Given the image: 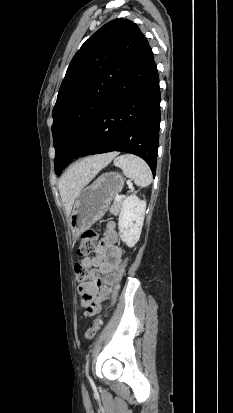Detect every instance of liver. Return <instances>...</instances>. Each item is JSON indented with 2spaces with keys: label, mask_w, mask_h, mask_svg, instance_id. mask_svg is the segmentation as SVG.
Wrapping results in <instances>:
<instances>
[{
  "label": "liver",
  "mask_w": 233,
  "mask_h": 413,
  "mask_svg": "<svg viewBox=\"0 0 233 413\" xmlns=\"http://www.w3.org/2000/svg\"><path fill=\"white\" fill-rule=\"evenodd\" d=\"M117 155L116 152L92 156L73 165L59 180L58 186L66 215L69 216L81 190Z\"/></svg>",
  "instance_id": "1"
}]
</instances>
